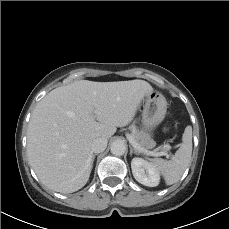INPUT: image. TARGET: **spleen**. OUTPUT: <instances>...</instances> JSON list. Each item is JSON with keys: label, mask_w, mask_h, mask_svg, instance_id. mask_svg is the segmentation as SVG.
<instances>
[{"label": "spleen", "mask_w": 229, "mask_h": 229, "mask_svg": "<svg viewBox=\"0 0 229 229\" xmlns=\"http://www.w3.org/2000/svg\"><path fill=\"white\" fill-rule=\"evenodd\" d=\"M192 155V128L186 127L180 148L171 160L154 158L151 165L162 174L167 185H172L180 180L188 167Z\"/></svg>", "instance_id": "spleen-1"}]
</instances>
